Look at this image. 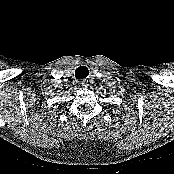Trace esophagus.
<instances>
[{"mask_svg":"<svg viewBox=\"0 0 174 174\" xmlns=\"http://www.w3.org/2000/svg\"><path fill=\"white\" fill-rule=\"evenodd\" d=\"M78 86H79L80 88L86 87V86H87V81L84 80V79L79 80V81H78Z\"/></svg>","mask_w":174,"mask_h":174,"instance_id":"esophagus-1","label":"esophagus"}]
</instances>
